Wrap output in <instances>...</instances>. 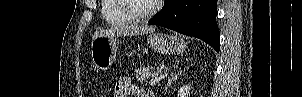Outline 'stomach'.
<instances>
[{"label": "stomach", "instance_id": "obj_1", "mask_svg": "<svg viewBox=\"0 0 302 97\" xmlns=\"http://www.w3.org/2000/svg\"><path fill=\"white\" fill-rule=\"evenodd\" d=\"M150 48L161 54L179 55L186 49L183 39L161 33H150L147 36ZM118 36H98L92 40L91 58L97 69L108 70L116 58Z\"/></svg>", "mask_w": 302, "mask_h": 97}]
</instances>
